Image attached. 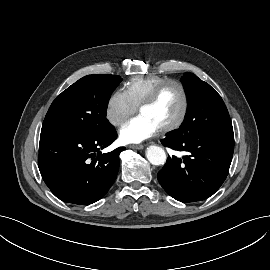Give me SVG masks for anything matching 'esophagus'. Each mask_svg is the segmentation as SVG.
<instances>
[{
  "instance_id": "esophagus-1",
  "label": "esophagus",
  "mask_w": 270,
  "mask_h": 270,
  "mask_svg": "<svg viewBox=\"0 0 270 270\" xmlns=\"http://www.w3.org/2000/svg\"><path fill=\"white\" fill-rule=\"evenodd\" d=\"M129 148H131V149H136V150H141V149H143L144 148V146L143 145H129Z\"/></svg>"
}]
</instances>
